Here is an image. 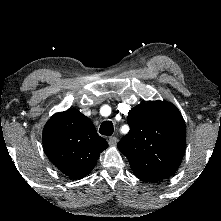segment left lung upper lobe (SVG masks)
Returning a JSON list of instances; mask_svg holds the SVG:
<instances>
[{"label": "left lung upper lobe", "mask_w": 221, "mask_h": 221, "mask_svg": "<svg viewBox=\"0 0 221 221\" xmlns=\"http://www.w3.org/2000/svg\"><path fill=\"white\" fill-rule=\"evenodd\" d=\"M130 131L118 143L136 177L157 182L171 176L180 165L185 149L184 120L175 105L149 101L128 114Z\"/></svg>", "instance_id": "5c2ea615"}]
</instances>
